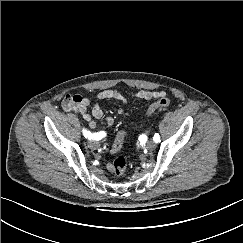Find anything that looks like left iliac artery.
Instances as JSON below:
<instances>
[{"instance_id": "left-iliac-artery-1", "label": "left iliac artery", "mask_w": 243, "mask_h": 243, "mask_svg": "<svg viewBox=\"0 0 243 243\" xmlns=\"http://www.w3.org/2000/svg\"><path fill=\"white\" fill-rule=\"evenodd\" d=\"M153 140L156 143L160 142V136H159V134H155L154 137H153Z\"/></svg>"}]
</instances>
